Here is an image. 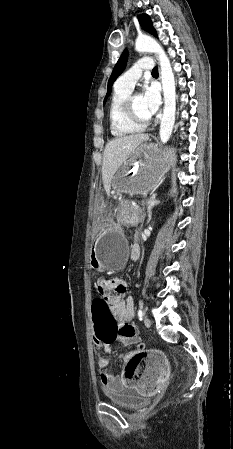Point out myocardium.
Instances as JSON below:
<instances>
[{
    "mask_svg": "<svg viewBox=\"0 0 233 449\" xmlns=\"http://www.w3.org/2000/svg\"><path fill=\"white\" fill-rule=\"evenodd\" d=\"M136 94L137 93L131 92L125 99L123 107L124 113L130 122L138 126L145 127L151 122L152 117L150 115L147 117H141L137 114L134 106V97Z\"/></svg>",
    "mask_w": 233,
    "mask_h": 449,
    "instance_id": "1",
    "label": "myocardium"
}]
</instances>
